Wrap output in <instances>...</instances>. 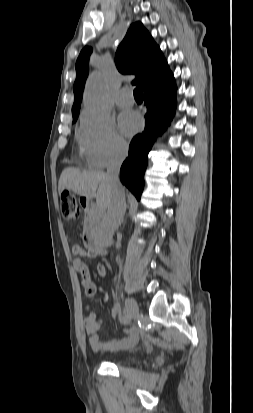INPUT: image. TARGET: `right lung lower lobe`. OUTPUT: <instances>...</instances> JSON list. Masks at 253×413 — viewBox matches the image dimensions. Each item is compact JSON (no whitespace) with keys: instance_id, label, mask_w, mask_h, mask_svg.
Wrapping results in <instances>:
<instances>
[{"instance_id":"right-lung-lower-lobe-1","label":"right lung lower lobe","mask_w":253,"mask_h":413,"mask_svg":"<svg viewBox=\"0 0 253 413\" xmlns=\"http://www.w3.org/2000/svg\"><path fill=\"white\" fill-rule=\"evenodd\" d=\"M144 103L147 106L145 129L136 135L129 146V155L121 166L120 179L140 200L144 186V172L148 153L153 145L154 136L161 135L172 120L176 102L175 80L151 82L144 89Z\"/></svg>"}]
</instances>
